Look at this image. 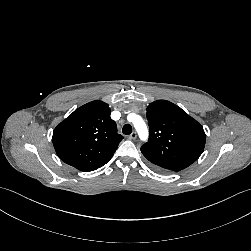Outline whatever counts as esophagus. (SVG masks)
<instances>
[{"instance_id": "obj_1", "label": "esophagus", "mask_w": 251, "mask_h": 251, "mask_svg": "<svg viewBox=\"0 0 251 251\" xmlns=\"http://www.w3.org/2000/svg\"><path fill=\"white\" fill-rule=\"evenodd\" d=\"M136 137H137V133H136V132H132V133L128 136V138L131 139V140L136 139Z\"/></svg>"}]
</instances>
